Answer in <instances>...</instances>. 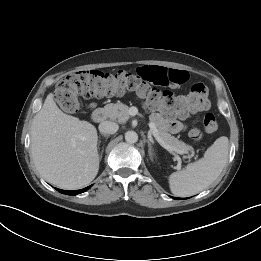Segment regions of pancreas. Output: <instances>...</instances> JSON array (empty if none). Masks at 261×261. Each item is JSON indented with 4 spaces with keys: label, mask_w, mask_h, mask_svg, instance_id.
<instances>
[{
    "label": "pancreas",
    "mask_w": 261,
    "mask_h": 261,
    "mask_svg": "<svg viewBox=\"0 0 261 261\" xmlns=\"http://www.w3.org/2000/svg\"><path fill=\"white\" fill-rule=\"evenodd\" d=\"M105 111L109 119L113 121H117L119 123H125L129 118V107L123 103H110L105 106ZM151 121L154 122L156 128L158 130V135L166 144L173 147L175 152L179 154L188 153L192 151L193 148L184 142L178 140L170 133H168L165 129L161 127V125L157 122L155 117H151Z\"/></svg>",
    "instance_id": "cf45deb5"
}]
</instances>
